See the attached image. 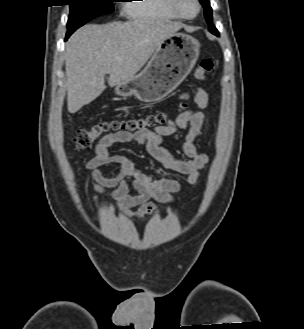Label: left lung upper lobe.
Returning <instances> with one entry per match:
<instances>
[{
    "label": "left lung upper lobe",
    "mask_w": 304,
    "mask_h": 329,
    "mask_svg": "<svg viewBox=\"0 0 304 329\" xmlns=\"http://www.w3.org/2000/svg\"><path fill=\"white\" fill-rule=\"evenodd\" d=\"M199 1L204 7V14L208 24L210 25L209 30H212L214 29V25L212 24V8L210 6V2L209 0H199Z\"/></svg>",
    "instance_id": "5c2ea615"
}]
</instances>
